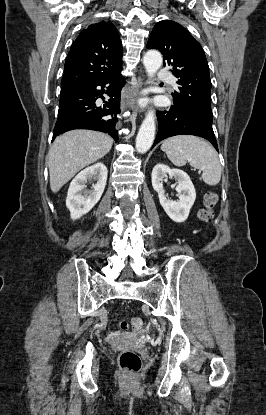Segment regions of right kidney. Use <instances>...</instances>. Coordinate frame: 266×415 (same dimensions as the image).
Returning a JSON list of instances; mask_svg holds the SVG:
<instances>
[{"label":"right kidney","instance_id":"ca27d5eb","mask_svg":"<svg viewBox=\"0 0 266 415\" xmlns=\"http://www.w3.org/2000/svg\"><path fill=\"white\" fill-rule=\"evenodd\" d=\"M94 179L91 190L86 189L87 180ZM107 181V168L103 163H96L81 171L70 183L66 206L71 219H79L87 214L100 200Z\"/></svg>","mask_w":266,"mask_h":415}]
</instances>
